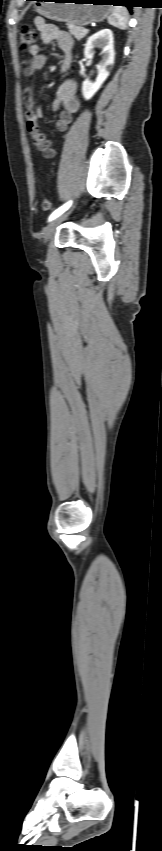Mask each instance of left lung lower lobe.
Here are the masks:
<instances>
[{
    "label": "left lung lower lobe",
    "mask_w": 162,
    "mask_h": 851,
    "mask_svg": "<svg viewBox=\"0 0 162 851\" xmlns=\"http://www.w3.org/2000/svg\"><path fill=\"white\" fill-rule=\"evenodd\" d=\"M30 1H32V0H30ZM36 1H38V0H36ZM104 1H105L104 3H111L113 5H123V6L128 7L129 9H131V7H133L129 3V0H104Z\"/></svg>",
    "instance_id": "1"
}]
</instances>
